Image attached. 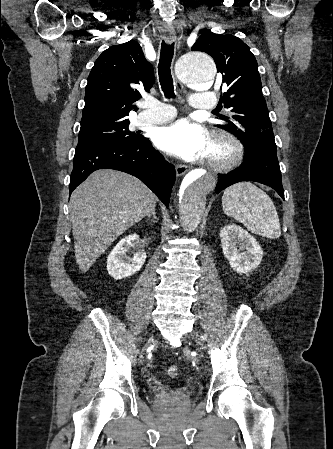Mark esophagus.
Listing matches in <instances>:
<instances>
[{
  "label": "esophagus",
  "mask_w": 333,
  "mask_h": 449,
  "mask_svg": "<svg viewBox=\"0 0 333 449\" xmlns=\"http://www.w3.org/2000/svg\"><path fill=\"white\" fill-rule=\"evenodd\" d=\"M164 38H165V40H166V42L168 44H171V43L175 42L176 41L175 32L172 31V30L166 31L165 34H164ZM177 86H178V88L180 90H183L182 84L177 83ZM187 170H188L187 166H185V165H178L176 167V174H177V176H182V175H184L187 172Z\"/></svg>",
  "instance_id": "34e87169"
}]
</instances>
